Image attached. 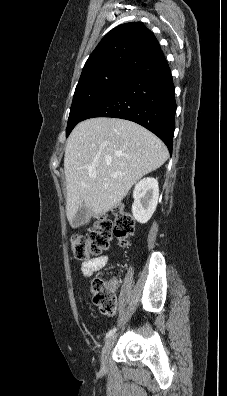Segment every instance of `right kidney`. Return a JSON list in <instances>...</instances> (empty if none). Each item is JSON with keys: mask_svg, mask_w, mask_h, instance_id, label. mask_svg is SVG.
<instances>
[{"mask_svg": "<svg viewBox=\"0 0 227 396\" xmlns=\"http://www.w3.org/2000/svg\"><path fill=\"white\" fill-rule=\"evenodd\" d=\"M159 197L158 181L154 178L140 180L134 188L132 214L135 220L146 223L154 213Z\"/></svg>", "mask_w": 227, "mask_h": 396, "instance_id": "1", "label": "right kidney"}]
</instances>
